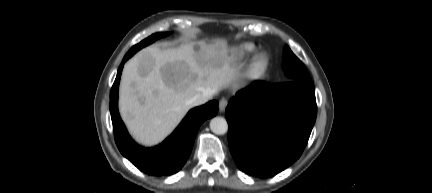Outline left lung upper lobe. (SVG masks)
I'll return each mask as SVG.
<instances>
[{
  "mask_svg": "<svg viewBox=\"0 0 432 193\" xmlns=\"http://www.w3.org/2000/svg\"><path fill=\"white\" fill-rule=\"evenodd\" d=\"M283 69L290 80L311 81L304 64L286 45L283 53Z\"/></svg>",
  "mask_w": 432,
  "mask_h": 193,
  "instance_id": "5c2ea615",
  "label": "left lung upper lobe"
}]
</instances>
